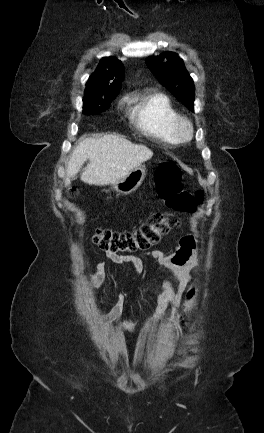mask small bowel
Masks as SVG:
<instances>
[{"instance_id":"small-bowel-1","label":"small bowel","mask_w":264,"mask_h":433,"mask_svg":"<svg viewBox=\"0 0 264 433\" xmlns=\"http://www.w3.org/2000/svg\"><path fill=\"white\" fill-rule=\"evenodd\" d=\"M143 256L156 260L161 267L171 271L178 280L177 290L174 289L169 280H161L162 292L155 298L152 313L144 323L145 327H149L156 324L162 318L169 304H172L173 311H176L181 295L190 280V272L198 263L199 250L193 236H184L179 240L178 248L172 254L166 255L160 250H153L145 253ZM106 257L120 267L132 265L138 274H143L144 272L142 256L106 253ZM105 278L106 263L102 260L97 264L96 271L87 275L86 282L97 286L101 285L105 281ZM126 300V293L119 292L115 305L106 317L109 323L120 319ZM136 321V318L124 320L121 324L122 330L129 333L134 332L137 329ZM179 326H182L181 320H179Z\"/></svg>"}]
</instances>
